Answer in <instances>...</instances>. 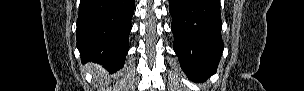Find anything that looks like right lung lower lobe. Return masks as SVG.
<instances>
[{
	"label": "right lung lower lobe",
	"mask_w": 304,
	"mask_h": 91,
	"mask_svg": "<svg viewBox=\"0 0 304 91\" xmlns=\"http://www.w3.org/2000/svg\"><path fill=\"white\" fill-rule=\"evenodd\" d=\"M134 0H80L77 47L83 62L116 71L129 49Z\"/></svg>",
	"instance_id": "obj_1"
}]
</instances>
